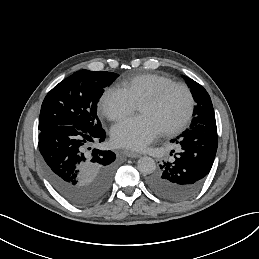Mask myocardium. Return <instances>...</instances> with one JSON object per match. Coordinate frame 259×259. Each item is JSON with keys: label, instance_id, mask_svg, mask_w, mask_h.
Instances as JSON below:
<instances>
[{"label": "myocardium", "instance_id": "1", "mask_svg": "<svg viewBox=\"0 0 259 259\" xmlns=\"http://www.w3.org/2000/svg\"><path fill=\"white\" fill-rule=\"evenodd\" d=\"M175 89H180L185 93L187 98V108L184 116L175 125L162 131L163 135L165 136L177 135L190 122L195 107V99L192 90L186 84L173 81L162 86L156 94L145 98L141 102V104L157 105L161 103Z\"/></svg>", "mask_w": 259, "mask_h": 259}]
</instances>
